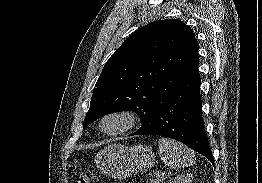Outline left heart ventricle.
Instances as JSON below:
<instances>
[{
	"label": "left heart ventricle",
	"mask_w": 262,
	"mask_h": 183,
	"mask_svg": "<svg viewBox=\"0 0 262 183\" xmlns=\"http://www.w3.org/2000/svg\"><path fill=\"white\" fill-rule=\"evenodd\" d=\"M122 125V120L119 118H109L103 123V129L106 131H113Z\"/></svg>",
	"instance_id": "1"
}]
</instances>
